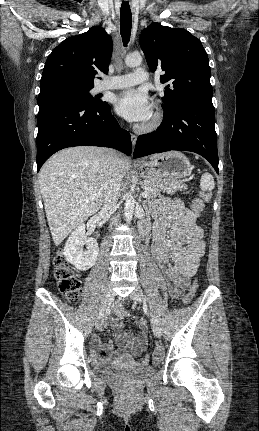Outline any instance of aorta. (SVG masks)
<instances>
[{"instance_id": "aorta-1", "label": "aorta", "mask_w": 259, "mask_h": 431, "mask_svg": "<svg viewBox=\"0 0 259 431\" xmlns=\"http://www.w3.org/2000/svg\"><path fill=\"white\" fill-rule=\"evenodd\" d=\"M142 63V56L140 54H130L125 58V64L128 67H138ZM135 206V199L131 192H127L125 195V206H124V214L125 220L127 223H130L133 218Z\"/></svg>"}]
</instances>
